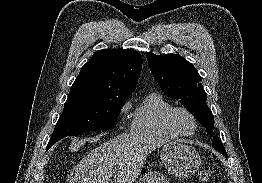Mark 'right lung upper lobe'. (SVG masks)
<instances>
[{
    "instance_id": "obj_1",
    "label": "right lung upper lobe",
    "mask_w": 262,
    "mask_h": 183,
    "mask_svg": "<svg viewBox=\"0 0 262 183\" xmlns=\"http://www.w3.org/2000/svg\"><path fill=\"white\" fill-rule=\"evenodd\" d=\"M141 69L142 56L135 50H98L82 67L69 95L128 98L136 87Z\"/></svg>"
}]
</instances>
